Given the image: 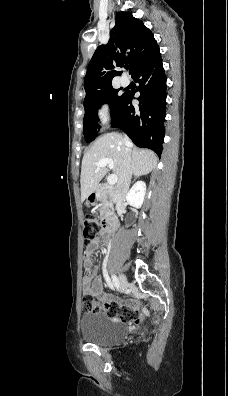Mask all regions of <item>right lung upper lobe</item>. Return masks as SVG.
<instances>
[{
	"mask_svg": "<svg viewBox=\"0 0 228 396\" xmlns=\"http://www.w3.org/2000/svg\"><path fill=\"white\" fill-rule=\"evenodd\" d=\"M156 46L152 32L142 21L129 12H119L108 44L96 49L88 65L84 80L85 98L112 86V79L120 74L116 67L128 63L129 73L133 76Z\"/></svg>",
	"mask_w": 228,
	"mask_h": 396,
	"instance_id": "cb5924a9",
	"label": "right lung upper lobe"
}]
</instances>
